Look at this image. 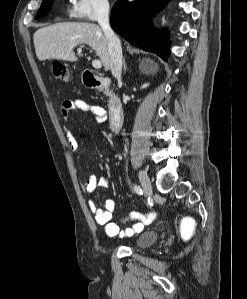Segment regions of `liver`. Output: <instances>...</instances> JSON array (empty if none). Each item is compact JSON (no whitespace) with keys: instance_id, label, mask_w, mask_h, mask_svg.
<instances>
[{"instance_id":"6515ba94","label":"liver","mask_w":247,"mask_h":299,"mask_svg":"<svg viewBox=\"0 0 247 299\" xmlns=\"http://www.w3.org/2000/svg\"><path fill=\"white\" fill-rule=\"evenodd\" d=\"M34 46L38 60L57 59L75 62L77 57L73 51L81 44L92 47L103 63L105 71L110 69L108 41L102 29L88 22H63L38 29L34 33ZM151 70L158 65L147 61Z\"/></svg>"}]
</instances>
